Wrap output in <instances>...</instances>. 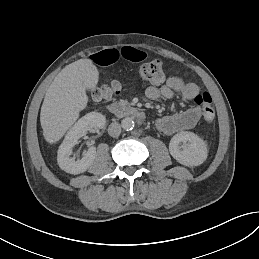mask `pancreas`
<instances>
[{
    "instance_id": "1",
    "label": "pancreas",
    "mask_w": 259,
    "mask_h": 259,
    "mask_svg": "<svg viewBox=\"0 0 259 259\" xmlns=\"http://www.w3.org/2000/svg\"><path fill=\"white\" fill-rule=\"evenodd\" d=\"M123 101V103H125L126 105H130V103H129V101H128V99H124V100H122Z\"/></svg>"
}]
</instances>
